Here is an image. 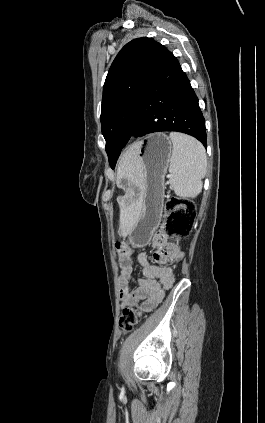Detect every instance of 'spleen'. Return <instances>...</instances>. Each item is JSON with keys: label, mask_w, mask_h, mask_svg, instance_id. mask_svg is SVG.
Wrapping results in <instances>:
<instances>
[{"label": "spleen", "mask_w": 265, "mask_h": 423, "mask_svg": "<svg viewBox=\"0 0 265 423\" xmlns=\"http://www.w3.org/2000/svg\"><path fill=\"white\" fill-rule=\"evenodd\" d=\"M173 144L170 159V185L183 199L195 198L202 189L207 169V156L203 145L187 135L171 132Z\"/></svg>", "instance_id": "obj_1"}]
</instances>
